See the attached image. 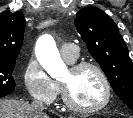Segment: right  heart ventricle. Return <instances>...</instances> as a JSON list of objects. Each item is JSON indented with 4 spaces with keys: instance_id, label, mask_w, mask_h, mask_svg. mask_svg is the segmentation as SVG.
<instances>
[{
    "instance_id": "right-heart-ventricle-1",
    "label": "right heart ventricle",
    "mask_w": 133,
    "mask_h": 118,
    "mask_svg": "<svg viewBox=\"0 0 133 118\" xmlns=\"http://www.w3.org/2000/svg\"><path fill=\"white\" fill-rule=\"evenodd\" d=\"M75 60H76V59H75ZM75 60H67V59H66V61L69 62V63H74Z\"/></svg>"
}]
</instances>
